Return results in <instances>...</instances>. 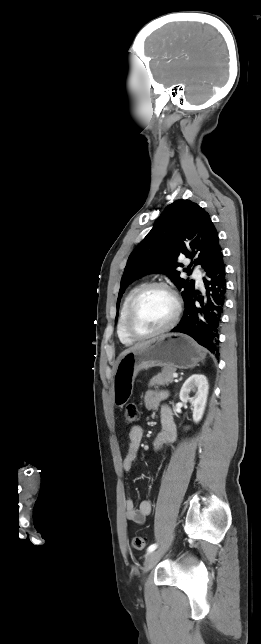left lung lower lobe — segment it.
Wrapping results in <instances>:
<instances>
[{
    "label": "left lung lower lobe",
    "instance_id": "left-lung-lower-lobe-1",
    "mask_svg": "<svg viewBox=\"0 0 261 644\" xmlns=\"http://www.w3.org/2000/svg\"><path fill=\"white\" fill-rule=\"evenodd\" d=\"M223 253L215 256L205 269L203 282L206 294L194 291L185 304L180 323L171 332H180L194 338L217 356L219 326L225 304L226 279ZM198 301L199 303H196Z\"/></svg>",
    "mask_w": 261,
    "mask_h": 644
}]
</instances>
